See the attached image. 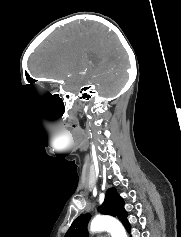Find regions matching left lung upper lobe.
Returning a JSON list of instances; mask_svg holds the SVG:
<instances>
[{"label":"left lung upper lobe","mask_w":181,"mask_h":237,"mask_svg":"<svg viewBox=\"0 0 181 237\" xmlns=\"http://www.w3.org/2000/svg\"><path fill=\"white\" fill-rule=\"evenodd\" d=\"M99 211L102 214L118 217L128 232L131 230V226L127 220V211L124 208V200L119 196L115 188L107 190L103 204L99 207ZM91 218V214H82L78 216L70 228L66 232L64 237H87V225Z\"/></svg>","instance_id":"1"}]
</instances>
